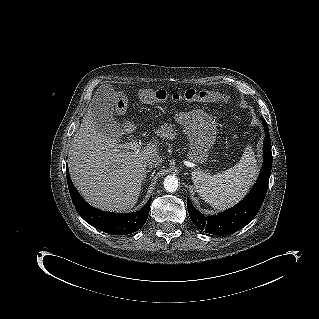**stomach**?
<instances>
[{
    "mask_svg": "<svg viewBox=\"0 0 319 319\" xmlns=\"http://www.w3.org/2000/svg\"><path fill=\"white\" fill-rule=\"evenodd\" d=\"M183 125L189 141L188 159L196 164L206 162L216 140L215 122L208 114L195 111L185 116Z\"/></svg>",
    "mask_w": 319,
    "mask_h": 319,
    "instance_id": "stomach-1",
    "label": "stomach"
}]
</instances>
